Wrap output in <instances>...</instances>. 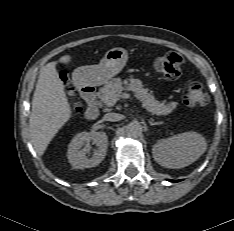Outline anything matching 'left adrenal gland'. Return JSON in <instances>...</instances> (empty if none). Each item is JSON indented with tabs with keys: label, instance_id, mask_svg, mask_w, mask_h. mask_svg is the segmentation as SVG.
Returning <instances> with one entry per match:
<instances>
[{
	"label": "left adrenal gland",
	"instance_id": "left-adrenal-gland-1",
	"mask_svg": "<svg viewBox=\"0 0 234 231\" xmlns=\"http://www.w3.org/2000/svg\"><path fill=\"white\" fill-rule=\"evenodd\" d=\"M148 122H149V124H150L151 126H154V125H161V124H162V122H153V120H149Z\"/></svg>",
	"mask_w": 234,
	"mask_h": 231
}]
</instances>
